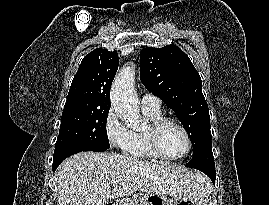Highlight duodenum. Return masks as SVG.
I'll return each instance as SVG.
<instances>
[{"mask_svg": "<svg viewBox=\"0 0 269 205\" xmlns=\"http://www.w3.org/2000/svg\"><path fill=\"white\" fill-rule=\"evenodd\" d=\"M106 205H116L115 203H107Z\"/></svg>", "mask_w": 269, "mask_h": 205, "instance_id": "obj_1", "label": "duodenum"}]
</instances>
